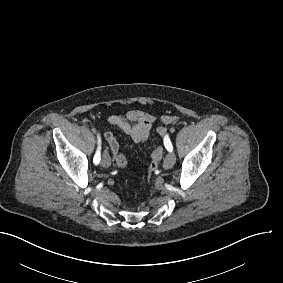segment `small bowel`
Here are the masks:
<instances>
[{"label": "small bowel", "mask_w": 283, "mask_h": 283, "mask_svg": "<svg viewBox=\"0 0 283 283\" xmlns=\"http://www.w3.org/2000/svg\"><path fill=\"white\" fill-rule=\"evenodd\" d=\"M177 120L175 116H165L162 118L164 123H171ZM106 121L126 133L131 139L140 143L145 141L155 128L160 138H165L167 129L163 126H156L158 118L143 110H130L124 115L112 114L106 118ZM105 139L108 143L110 152L113 156L116 166L123 169L127 164L126 156L120 152L119 143L115 134L111 131L105 133Z\"/></svg>", "instance_id": "obj_1"}]
</instances>
